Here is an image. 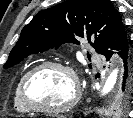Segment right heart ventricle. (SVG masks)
I'll return each instance as SVG.
<instances>
[{
  "label": "right heart ventricle",
  "mask_w": 133,
  "mask_h": 118,
  "mask_svg": "<svg viewBox=\"0 0 133 118\" xmlns=\"http://www.w3.org/2000/svg\"><path fill=\"white\" fill-rule=\"evenodd\" d=\"M27 72L23 73L22 76L19 78L15 89H14V94H13V102H14V107L16 109L17 112L21 113V114H28L31 111L25 106V104L23 103L22 99H21V95H20V84L22 81V78L24 77V75Z\"/></svg>",
  "instance_id": "obj_1"
}]
</instances>
